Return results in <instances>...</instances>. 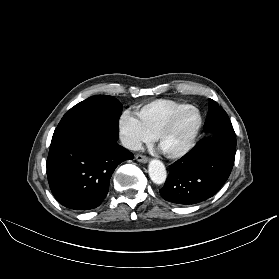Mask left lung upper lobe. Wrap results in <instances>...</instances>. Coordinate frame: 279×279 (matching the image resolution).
<instances>
[{
	"mask_svg": "<svg viewBox=\"0 0 279 279\" xmlns=\"http://www.w3.org/2000/svg\"><path fill=\"white\" fill-rule=\"evenodd\" d=\"M209 111L204 124V131H212L215 135L232 136L236 138L227 113L212 99H209ZM229 131V134H225Z\"/></svg>",
	"mask_w": 279,
	"mask_h": 279,
	"instance_id": "obj_1",
	"label": "left lung upper lobe"
}]
</instances>
